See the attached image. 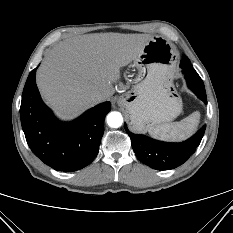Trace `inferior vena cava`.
<instances>
[{"label":"inferior vena cava","instance_id":"obj_1","mask_svg":"<svg viewBox=\"0 0 233 233\" xmlns=\"http://www.w3.org/2000/svg\"><path fill=\"white\" fill-rule=\"evenodd\" d=\"M105 99H106V96L103 93L98 92L93 95V100L95 102H101V101H104Z\"/></svg>","mask_w":233,"mask_h":233}]
</instances>
